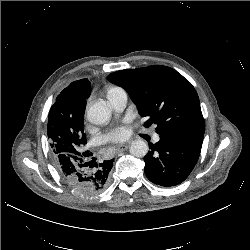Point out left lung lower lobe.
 Instances as JSON below:
<instances>
[{
    "label": "left lung lower lobe",
    "mask_w": 250,
    "mask_h": 250,
    "mask_svg": "<svg viewBox=\"0 0 250 250\" xmlns=\"http://www.w3.org/2000/svg\"><path fill=\"white\" fill-rule=\"evenodd\" d=\"M160 141L150 144L144 157L147 178L160 186L182 183L191 173L200 155L204 134H159Z\"/></svg>",
    "instance_id": "1"
}]
</instances>
